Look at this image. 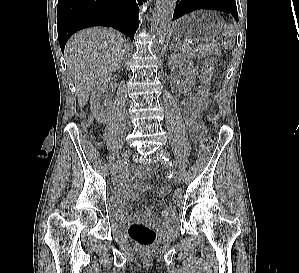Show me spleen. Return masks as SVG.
<instances>
[{
  "mask_svg": "<svg viewBox=\"0 0 299 273\" xmlns=\"http://www.w3.org/2000/svg\"><path fill=\"white\" fill-rule=\"evenodd\" d=\"M235 28L233 25H226L224 27V36L226 42L224 43V46L226 49H231L233 48L235 44Z\"/></svg>",
  "mask_w": 299,
  "mask_h": 273,
  "instance_id": "spleen-1",
  "label": "spleen"
}]
</instances>
